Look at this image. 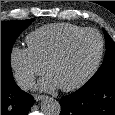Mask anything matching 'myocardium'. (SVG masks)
Listing matches in <instances>:
<instances>
[{
	"mask_svg": "<svg viewBox=\"0 0 115 115\" xmlns=\"http://www.w3.org/2000/svg\"><path fill=\"white\" fill-rule=\"evenodd\" d=\"M87 33H94L99 38L100 48H99L98 56L93 64V66L91 67V69L81 79H79L78 81H76L70 85L60 86V88L63 91L71 92V91L80 89L86 83H88L93 78V76L96 74V72L98 71V69L101 65V62H102V59L104 56V50H105V42H104V38H103L102 34L94 28H84L83 30H81L77 33H74L60 45V47L51 55V57L48 59L46 65H45V70L49 74L52 66L64 57V55L67 53V51L69 50L71 45L74 43V41H76L79 37H81L82 35L87 34Z\"/></svg>",
	"mask_w": 115,
	"mask_h": 115,
	"instance_id": "myocardium-1",
	"label": "myocardium"
}]
</instances>
